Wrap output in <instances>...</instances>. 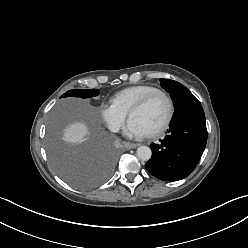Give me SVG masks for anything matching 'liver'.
Listing matches in <instances>:
<instances>
[{
	"label": "liver",
	"instance_id": "6515ba94",
	"mask_svg": "<svg viewBox=\"0 0 248 248\" xmlns=\"http://www.w3.org/2000/svg\"><path fill=\"white\" fill-rule=\"evenodd\" d=\"M89 135V128L83 122H74L69 124L64 130V140L68 143H82Z\"/></svg>",
	"mask_w": 248,
	"mask_h": 248
}]
</instances>
